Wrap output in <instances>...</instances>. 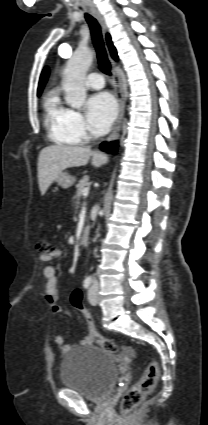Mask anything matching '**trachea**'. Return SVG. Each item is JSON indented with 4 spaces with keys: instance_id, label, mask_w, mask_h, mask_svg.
I'll return each mask as SVG.
<instances>
[{
    "instance_id": "obj_1",
    "label": "trachea",
    "mask_w": 208,
    "mask_h": 425,
    "mask_svg": "<svg viewBox=\"0 0 208 425\" xmlns=\"http://www.w3.org/2000/svg\"><path fill=\"white\" fill-rule=\"evenodd\" d=\"M85 19L90 27L93 44L97 53L99 69L103 73L110 75L111 65L107 58L106 50L104 47L100 24L95 18H93L87 13L85 14Z\"/></svg>"
}]
</instances>
